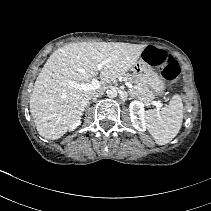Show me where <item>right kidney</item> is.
I'll use <instances>...</instances> for the list:
<instances>
[{"label": "right kidney", "instance_id": "right-kidney-1", "mask_svg": "<svg viewBox=\"0 0 211 211\" xmlns=\"http://www.w3.org/2000/svg\"><path fill=\"white\" fill-rule=\"evenodd\" d=\"M81 124L80 120L76 121L71 127L69 128V131H73Z\"/></svg>", "mask_w": 211, "mask_h": 211}]
</instances>
